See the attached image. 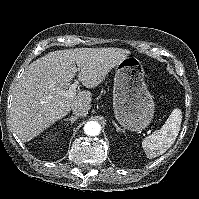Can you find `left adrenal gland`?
<instances>
[{"instance_id": "obj_1", "label": "left adrenal gland", "mask_w": 199, "mask_h": 199, "mask_svg": "<svg viewBox=\"0 0 199 199\" xmlns=\"http://www.w3.org/2000/svg\"><path fill=\"white\" fill-rule=\"evenodd\" d=\"M112 123H113V125L115 126L116 131H117V132H121V128H120L114 121H112Z\"/></svg>"}]
</instances>
